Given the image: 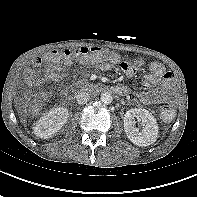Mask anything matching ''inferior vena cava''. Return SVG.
I'll return each instance as SVG.
<instances>
[{
    "instance_id": "1",
    "label": "inferior vena cava",
    "mask_w": 197,
    "mask_h": 197,
    "mask_svg": "<svg viewBox=\"0 0 197 197\" xmlns=\"http://www.w3.org/2000/svg\"><path fill=\"white\" fill-rule=\"evenodd\" d=\"M90 96L86 92H79L76 95L77 103L80 105L86 104L89 100Z\"/></svg>"
}]
</instances>
